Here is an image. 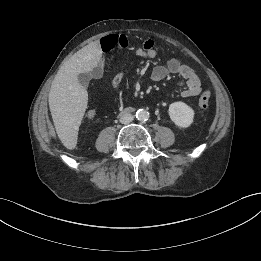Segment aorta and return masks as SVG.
I'll use <instances>...</instances> for the list:
<instances>
[{"label":"aorta","mask_w":261,"mask_h":261,"mask_svg":"<svg viewBox=\"0 0 261 261\" xmlns=\"http://www.w3.org/2000/svg\"><path fill=\"white\" fill-rule=\"evenodd\" d=\"M136 118L140 121H146L149 118V112L145 109H139L136 112Z\"/></svg>","instance_id":"762f6f07"}]
</instances>
